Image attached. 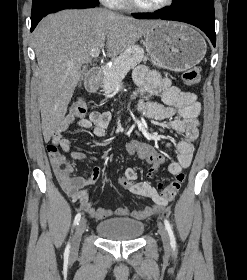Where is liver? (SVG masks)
<instances>
[{
	"label": "liver",
	"mask_w": 247,
	"mask_h": 280,
	"mask_svg": "<svg viewBox=\"0 0 247 280\" xmlns=\"http://www.w3.org/2000/svg\"><path fill=\"white\" fill-rule=\"evenodd\" d=\"M161 21L137 20L106 9L65 10L48 15L36 27L34 50L40 68L39 108L45 142L67 112L90 52L104 49L115 57Z\"/></svg>",
	"instance_id": "6515ba94"
}]
</instances>
